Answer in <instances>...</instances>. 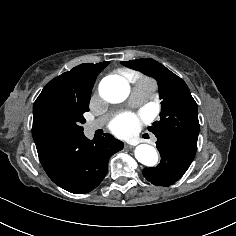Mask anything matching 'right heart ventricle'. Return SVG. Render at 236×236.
Instances as JSON below:
<instances>
[{
  "label": "right heart ventricle",
  "mask_w": 236,
  "mask_h": 236,
  "mask_svg": "<svg viewBox=\"0 0 236 236\" xmlns=\"http://www.w3.org/2000/svg\"><path fill=\"white\" fill-rule=\"evenodd\" d=\"M134 85H147L153 88L155 87L153 80L143 75H137L134 78Z\"/></svg>",
  "instance_id": "right-heart-ventricle-1"
}]
</instances>
